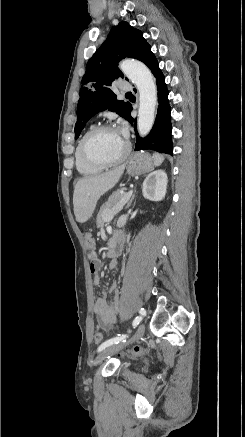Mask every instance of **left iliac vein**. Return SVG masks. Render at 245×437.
I'll use <instances>...</instances> for the list:
<instances>
[{
    "label": "left iliac vein",
    "mask_w": 245,
    "mask_h": 437,
    "mask_svg": "<svg viewBox=\"0 0 245 437\" xmlns=\"http://www.w3.org/2000/svg\"><path fill=\"white\" fill-rule=\"evenodd\" d=\"M145 332V326L144 324H140L137 332L135 333V335L132 337V339H130L128 342H119L117 344H113L111 346H109L108 348L104 349L97 357L96 360L94 362V365H98L100 362H102L103 360H105L107 357L115 354L116 352H118L119 350H121L122 348H124L127 344L129 343H133L136 342L138 340H140V338L144 335Z\"/></svg>",
    "instance_id": "1"
}]
</instances>
